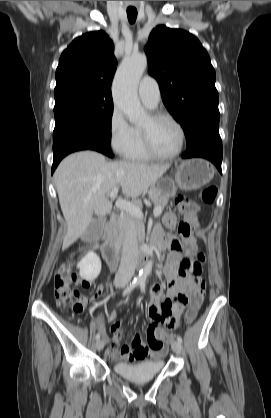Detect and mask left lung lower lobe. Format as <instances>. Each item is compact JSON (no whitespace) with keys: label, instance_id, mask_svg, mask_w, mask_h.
Here are the masks:
<instances>
[{"label":"left lung lower lobe","instance_id":"0a47b994","mask_svg":"<svg viewBox=\"0 0 271 418\" xmlns=\"http://www.w3.org/2000/svg\"><path fill=\"white\" fill-rule=\"evenodd\" d=\"M192 157H201L211 161L221 172L222 141L219 133L197 137L191 145L187 146V151L183 154V158Z\"/></svg>","mask_w":271,"mask_h":418}]
</instances>
